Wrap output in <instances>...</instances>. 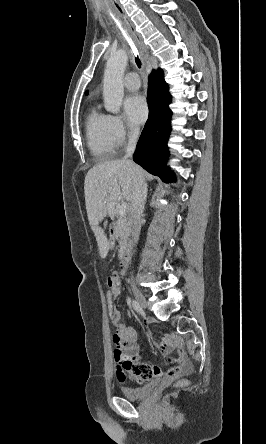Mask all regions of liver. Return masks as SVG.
<instances>
[{"instance_id":"6515ba94","label":"liver","mask_w":266,"mask_h":444,"mask_svg":"<svg viewBox=\"0 0 266 444\" xmlns=\"http://www.w3.org/2000/svg\"><path fill=\"white\" fill-rule=\"evenodd\" d=\"M144 170L129 160H112L91 168L85 176L84 193L89 223L96 237L101 258H106L110 243L99 223L108 215L114 217L120 194L132 200L136 178Z\"/></svg>"}]
</instances>
